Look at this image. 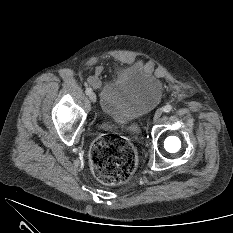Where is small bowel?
I'll return each mask as SVG.
<instances>
[{"mask_svg": "<svg viewBox=\"0 0 233 233\" xmlns=\"http://www.w3.org/2000/svg\"><path fill=\"white\" fill-rule=\"evenodd\" d=\"M99 82H100V80L97 76H92L89 78V83L95 87H97L99 85Z\"/></svg>", "mask_w": 233, "mask_h": 233, "instance_id": "c3829d8e", "label": "small bowel"}]
</instances>
